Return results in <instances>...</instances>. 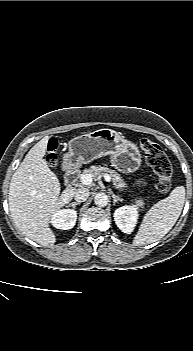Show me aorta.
I'll return each instance as SVG.
<instances>
[{
    "mask_svg": "<svg viewBox=\"0 0 193 351\" xmlns=\"http://www.w3.org/2000/svg\"><path fill=\"white\" fill-rule=\"evenodd\" d=\"M94 203L98 207H105L108 204V196L103 192L97 193L94 197Z\"/></svg>",
    "mask_w": 193,
    "mask_h": 351,
    "instance_id": "762f6f07",
    "label": "aorta"
}]
</instances>
